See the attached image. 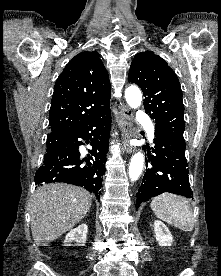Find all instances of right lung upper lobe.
I'll list each match as a JSON object with an SVG mask.
<instances>
[{
	"instance_id": "obj_1",
	"label": "right lung upper lobe",
	"mask_w": 221,
	"mask_h": 276,
	"mask_svg": "<svg viewBox=\"0 0 221 276\" xmlns=\"http://www.w3.org/2000/svg\"><path fill=\"white\" fill-rule=\"evenodd\" d=\"M111 86L99 54L76 55L59 75L51 101V136H71L109 109Z\"/></svg>"
}]
</instances>
